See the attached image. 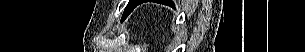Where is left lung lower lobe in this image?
Segmentation results:
<instances>
[{
    "instance_id": "obj_1",
    "label": "left lung lower lobe",
    "mask_w": 305,
    "mask_h": 52,
    "mask_svg": "<svg viewBox=\"0 0 305 52\" xmlns=\"http://www.w3.org/2000/svg\"><path fill=\"white\" fill-rule=\"evenodd\" d=\"M143 2H146V0H139V1L137 2V4L139 5V4L143 3Z\"/></svg>"
}]
</instances>
